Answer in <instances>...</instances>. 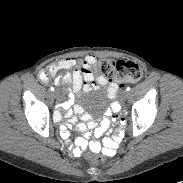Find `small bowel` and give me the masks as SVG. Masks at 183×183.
Segmentation results:
<instances>
[{"mask_svg": "<svg viewBox=\"0 0 183 183\" xmlns=\"http://www.w3.org/2000/svg\"><path fill=\"white\" fill-rule=\"evenodd\" d=\"M95 64L96 58L92 55H87L80 60L65 58L49 65L47 70L53 71L54 74L61 70L66 71L62 78L56 79V85H62L68 81H71L72 84L68 99L62 102L55 110L53 118L56 123L61 125L60 132L63 138H68L69 126H73L77 132L85 133L83 137L77 138L74 145L70 147L73 155L80 156L89 148L94 152L103 150V155L112 160L116 156L115 150L123 137L122 128L128 125L127 118L123 117L125 114L124 109L120 107L119 103L112 101L108 104L104 116L97 122L93 120L91 115L84 113L82 106L74 104L75 95L81 91L90 92L99 87L107 86V92L110 97H114L118 92L119 86L117 83H108L103 76H95ZM41 80L49 82L50 79ZM112 124L118 128L115 130L114 135L110 137L106 134ZM89 135L93 136L91 141H88ZM100 137H102L101 141L98 140Z\"/></svg>", "mask_w": 183, "mask_h": 183, "instance_id": "small-bowel-1", "label": "small bowel"}]
</instances>
